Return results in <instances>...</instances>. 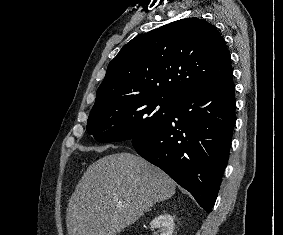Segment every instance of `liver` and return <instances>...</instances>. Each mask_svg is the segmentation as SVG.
Here are the masks:
<instances>
[{
	"instance_id": "liver-1",
	"label": "liver",
	"mask_w": 283,
	"mask_h": 235,
	"mask_svg": "<svg viewBox=\"0 0 283 235\" xmlns=\"http://www.w3.org/2000/svg\"><path fill=\"white\" fill-rule=\"evenodd\" d=\"M175 182L140 156L121 152L92 163L69 200V235H117L155 203L171 198Z\"/></svg>"
}]
</instances>
